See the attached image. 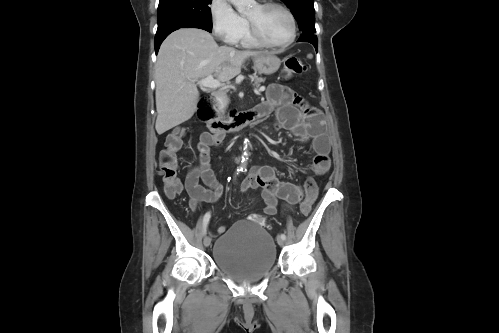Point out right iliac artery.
<instances>
[{
    "mask_svg": "<svg viewBox=\"0 0 499 333\" xmlns=\"http://www.w3.org/2000/svg\"><path fill=\"white\" fill-rule=\"evenodd\" d=\"M240 171H242V169H237V173L236 174H238ZM210 217H211V213L210 212H207L205 214V216H204V219H203V234L204 235L206 234L207 225H208Z\"/></svg>",
    "mask_w": 499,
    "mask_h": 333,
    "instance_id": "82829eb1",
    "label": "right iliac artery"
}]
</instances>
